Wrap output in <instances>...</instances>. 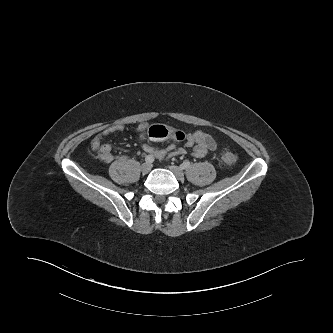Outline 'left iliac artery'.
<instances>
[{
  "mask_svg": "<svg viewBox=\"0 0 333 333\" xmlns=\"http://www.w3.org/2000/svg\"><path fill=\"white\" fill-rule=\"evenodd\" d=\"M191 166L189 161H185L181 164L182 169H188Z\"/></svg>",
  "mask_w": 333,
  "mask_h": 333,
  "instance_id": "1",
  "label": "left iliac artery"
}]
</instances>
